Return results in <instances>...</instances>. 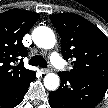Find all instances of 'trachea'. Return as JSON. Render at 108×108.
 <instances>
[{
    "mask_svg": "<svg viewBox=\"0 0 108 108\" xmlns=\"http://www.w3.org/2000/svg\"><path fill=\"white\" fill-rule=\"evenodd\" d=\"M29 64L32 66H40L42 68L47 67V62L42 56H34L29 60Z\"/></svg>",
    "mask_w": 108,
    "mask_h": 108,
    "instance_id": "trachea-1",
    "label": "trachea"
}]
</instances>
